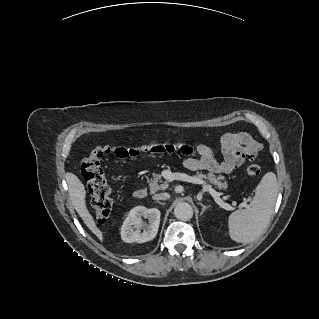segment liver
Listing matches in <instances>:
<instances>
[{
	"instance_id": "6515ba94",
	"label": "liver",
	"mask_w": 319,
	"mask_h": 319,
	"mask_svg": "<svg viewBox=\"0 0 319 319\" xmlns=\"http://www.w3.org/2000/svg\"><path fill=\"white\" fill-rule=\"evenodd\" d=\"M67 182L69 187V194L73 206L79 216L82 218L89 230L95 234L100 240H103V233L97 227L93 216L90 214L86 206V191L83 183L78 177L72 173L67 174Z\"/></svg>"
}]
</instances>
